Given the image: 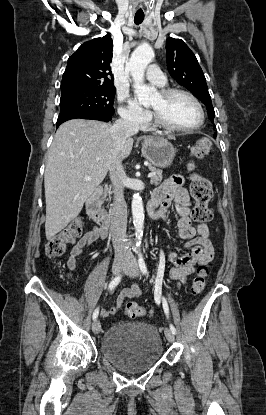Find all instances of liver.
I'll use <instances>...</instances> for the list:
<instances>
[{"label":"liver","instance_id":"6515ba94","mask_svg":"<svg viewBox=\"0 0 266 415\" xmlns=\"http://www.w3.org/2000/svg\"><path fill=\"white\" fill-rule=\"evenodd\" d=\"M111 127L100 121L73 119L56 131L44 174L47 240L78 216L114 161L130 155L133 139L128 137L118 151ZM87 176L91 179L86 180Z\"/></svg>","mask_w":266,"mask_h":415}]
</instances>
